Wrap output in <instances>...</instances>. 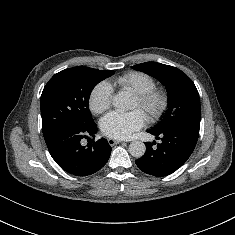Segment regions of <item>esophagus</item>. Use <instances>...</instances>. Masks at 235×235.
I'll use <instances>...</instances> for the list:
<instances>
[{
  "mask_svg": "<svg viewBox=\"0 0 235 235\" xmlns=\"http://www.w3.org/2000/svg\"><path fill=\"white\" fill-rule=\"evenodd\" d=\"M121 142H122V141H120V140H115V139H113V138H109V139H108V143H109L110 146L117 145V144H119V143H121Z\"/></svg>",
  "mask_w": 235,
  "mask_h": 235,
  "instance_id": "34e87169",
  "label": "esophagus"
}]
</instances>
